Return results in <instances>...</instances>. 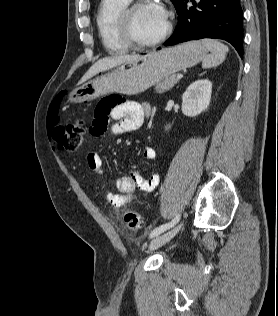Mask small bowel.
I'll return each instance as SVG.
<instances>
[{"instance_id": "obj_1", "label": "small bowel", "mask_w": 278, "mask_h": 316, "mask_svg": "<svg viewBox=\"0 0 278 316\" xmlns=\"http://www.w3.org/2000/svg\"><path fill=\"white\" fill-rule=\"evenodd\" d=\"M149 109L147 104L122 99L118 96H108L103 98L96 107L95 119L90 128L94 136L103 133L108 117L115 120L113 132L125 133L138 130ZM143 158L153 161L156 158V152L152 147L143 149ZM88 167L100 176H104L102 159L98 151L89 150L85 156ZM159 183V175L152 173L148 178H144L137 171L131 170L127 176L117 180L118 193H106L107 201L117 211L122 206L136 199V190L141 192V197L151 193ZM116 216V212L114 217Z\"/></svg>"}]
</instances>
